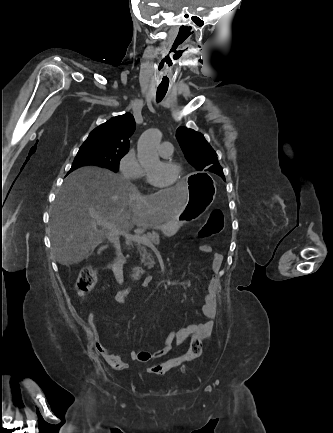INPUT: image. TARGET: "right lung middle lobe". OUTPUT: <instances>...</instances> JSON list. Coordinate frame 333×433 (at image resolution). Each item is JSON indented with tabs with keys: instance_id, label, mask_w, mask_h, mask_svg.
I'll list each match as a JSON object with an SVG mask.
<instances>
[{
	"instance_id": "1",
	"label": "right lung middle lobe",
	"mask_w": 333,
	"mask_h": 433,
	"mask_svg": "<svg viewBox=\"0 0 333 433\" xmlns=\"http://www.w3.org/2000/svg\"><path fill=\"white\" fill-rule=\"evenodd\" d=\"M127 152L128 150H118L91 143H83L72 166L99 165L117 172L119 162Z\"/></svg>"
}]
</instances>
